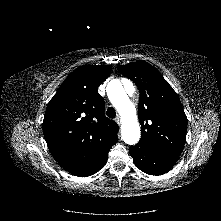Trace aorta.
I'll use <instances>...</instances> for the list:
<instances>
[{
	"label": "aorta",
	"mask_w": 221,
	"mask_h": 221,
	"mask_svg": "<svg viewBox=\"0 0 221 221\" xmlns=\"http://www.w3.org/2000/svg\"><path fill=\"white\" fill-rule=\"evenodd\" d=\"M107 95L120 114L122 126L121 135L126 144L134 145L140 139V126L136 108L130 101L124 87L118 80H112L107 86Z\"/></svg>",
	"instance_id": "aorta-1"
}]
</instances>
